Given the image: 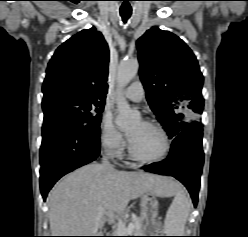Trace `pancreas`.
Masks as SVG:
<instances>
[{
	"instance_id": "cf45deb5",
	"label": "pancreas",
	"mask_w": 248,
	"mask_h": 237,
	"mask_svg": "<svg viewBox=\"0 0 248 237\" xmlns=\"http://www.w3.org/2000/svg\"><path fill=\"white\" fill-rule=\"evenodd\" d=\"M134 224V229L132 231V235L134 236H141L145 232V222L142 218H138L136 221L132 222ZM118 235H125L122 233H125L123 231V228L121 226H117V229L115 231Z\"/></svg>"
}]
</instances>
